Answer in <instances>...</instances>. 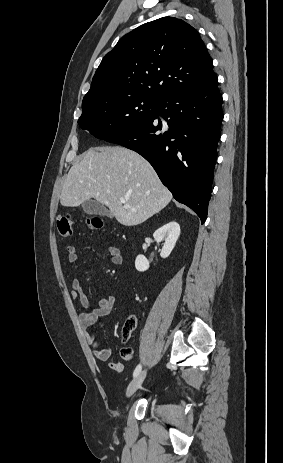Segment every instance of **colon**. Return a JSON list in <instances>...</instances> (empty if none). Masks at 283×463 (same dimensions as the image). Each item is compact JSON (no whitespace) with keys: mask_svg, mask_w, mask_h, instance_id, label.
Listing matches in <instances>:
<instances>
[{"mask_svg":"<svg viewBox=\"0 0 283 463\" xmlns=\"http://www.w3.org/2000/svg\"><path fill=\"white\" fill-rule=\"evenodd\" d=\"M84 225L92 230H100L104 227V222L97 217L87 218L84 221ZM73 220L69 216L60 217L57 221L58 232L63 237L72 235L73 232ZM135 320L129 319L124 327V338H127L129 332L134 328ZM121 356L125 360H132L134 358V350L131 347H123L121 349Z\"/></svg>","mask_w":283,"mask_h":463,"instance_id":"colon-1","label":"colon"}]
</instances>
